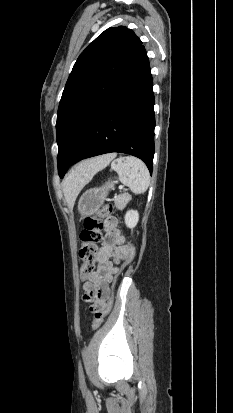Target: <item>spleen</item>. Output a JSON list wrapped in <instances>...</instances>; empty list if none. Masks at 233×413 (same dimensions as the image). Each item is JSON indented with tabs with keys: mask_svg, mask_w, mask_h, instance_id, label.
<instances>
[{
	"mask_svg": "<svg viewBox=\"0 0 233 413\" xmlns=\"http://www.w3.org/2000/svg\"><path fill=\"white\" fill-rule=\"evenodd\" d=\"M111 169L117 172L119 181L134 194L144 193L150 185L148 168L138 158L119 157L111 163Z\"/></svg>",
	"mask_w": 233,
	"mask_h": 413,
	"instance_id": "1",
	"label": "spleen"
}]
</instances>
